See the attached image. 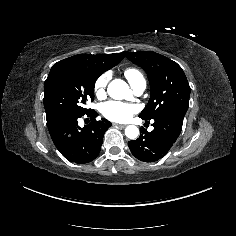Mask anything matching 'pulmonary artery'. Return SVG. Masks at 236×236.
Wrapping results in <instances>:
<instances>
[{
	"mask_svg": "<svg viewBox=\"0 0 236 236\" xmlns=\"http://www.w3.org/2000/svg\"><path fill=\"white\" fill-rule=\"evenodd\" d=\"M131 85L136 95H141L145 91L146 86H147L144 78L138 79L137 81L133 82Z\"/></svg>",
	"mask_w": 236,
	"mask_h": 236,
	"instance_id": "obj_1",
	"label": "pulmonary artery"
}]
</instances>
